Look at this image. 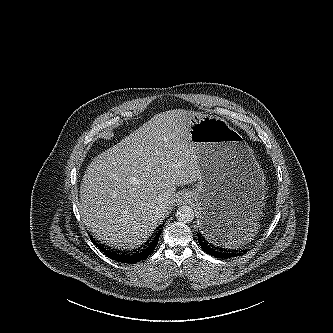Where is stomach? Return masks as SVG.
<instances>
[{"mask_svg": "<svg viewBox=\"0 0 333 333\" xmlns=\"http://www.w3.org/2000/svg\"><path fill=\"white\" fill-rule=\"evenodd\" d=\"M189 139L198 166L191 192L200 227L219 248H242L258 233L265 179L253 150L225 119L193 114Z\"/></svg>", "mask_w": 333, "mask_h": 333, "instance_id": "stomach-1", "label": "stomach"}]
</instances>
